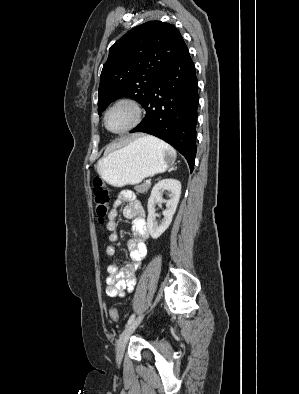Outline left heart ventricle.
<instances>
[{"label":"left heart ventricle","mask_w":299,"mask_h":394,"mask_svg":"<svg viewBox=\"0 0 299 394\" xmlns=\"http://www.w3.org/2000/svg\"><path fill=\"white\" fill-rule=\"evenodd\" d=\"M132 118V110L126 105H120L108 114L107 126L113 131H118L128 126Z\"/></svg>","instance_id":"left-heart-ventricle-1"}]
</instances>
